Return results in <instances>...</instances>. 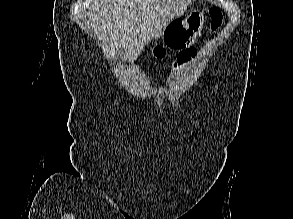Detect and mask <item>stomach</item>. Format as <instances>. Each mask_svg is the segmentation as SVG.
Returning a JSON list of instances; mask_svg holds the SVG:
<instances>
[{
    "mask_svg": "<svg viewBox=\"0 0 293 219\" xmlns=\"http://www.w3.org/2000/svg\"><path fill=\"white\" fill-rule=\"evenodd\" d=\"M204 14L196 9L190 11L185 19L176 17L164 28L161 38L170 49L182 50L192 45L201 35Z\"/></svg>",
    "mask_w": 293,
    "mask_h": 219,
    "instance_id": "0dacf381",
    "label": "stomach"
}]
</instances>
